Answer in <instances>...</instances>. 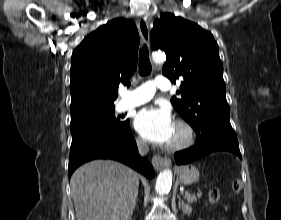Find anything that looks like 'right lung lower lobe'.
Segmentation results:
<instances>
[{
    "label": "right lung lower lobe",
    "instance_id": "1",
    "mask_svg": "<svg viewBox=\"0 0 281 220\" xmlns=\"http://www.w3.org/2000/svg\"><path fill=\"white\" fill-rule=\"evenodd\" d=\"M94 159L117 160L148 178L155 175L152 165L139 155L129 124L116 131L93 129L72 135L69 177L77 167Z\"/></svg>",
    "mask_w": 281,
    "mask_h": 220
}]
</instances>
